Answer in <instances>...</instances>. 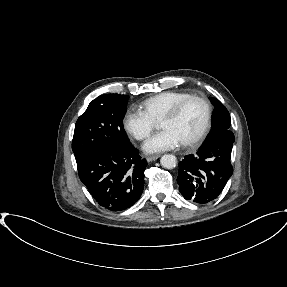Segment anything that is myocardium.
<instances>
[{
    "label": "myocardium",
    "instance_id": "myocardium-1",
    "mask_svg": "<svg viewBox=\"0 0 287 287\" xmlns=\"http://www.w3.org/2000/svg\"><path fill=\"white\" fill-rule=\"evenodd\" d=\"M196 101L199 102L204 109V117L202 125L199 131L189 140L182 142L183 146L185 147H195L201 143V141L207 135L210 126H211V116H212V108L209 101L202 96L198 95H189L182 100L178 101L174 106H172L163 116L161 119L164 118H175L181 112V110L185 107L186 104L189 102Z\"/></svg>",
    "mask_w": 287,
    "mask_h": 287
}]
</instances>
